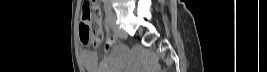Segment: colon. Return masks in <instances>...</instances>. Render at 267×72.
Segmentation results:
<instances>
[{
    "label": "colon",
    "mask_w": 267,
    "mask_h": 72,
    "mask_svg": "<svg viewBox=\"0 0 267 72\" xmlns=\"http://www.w3.org/2000/svg\"><path fill=\"white\" fill-rule=\"evenodd\" d=\"M101 9L97 1H85L82 7V16L79 26L82 42L99 46L102 39L100 27Z\"/></svg>",
    "instance_id": "colon-1"
}]
</instances>
